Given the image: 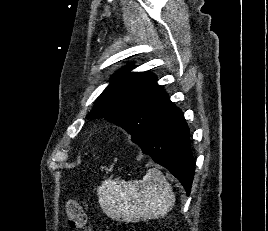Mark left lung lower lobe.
<instances>
[{"instance_id": "obj_1", "label": "left lung lower lobe", "mask_w": 268, "mask_h": 231, "mask_svg": "<svg viewBox=\"0 0 268 231\" xmlns=\"http://www.w3.org/2000/svg\"><path fill=\"white\" fill-rule=\"evenodd\" d=\"M144 154L167 168L190 194L195 161L190 148V132L182 111L174 106L151 133L136 142Z\"/></svg>"}]
</instances>
